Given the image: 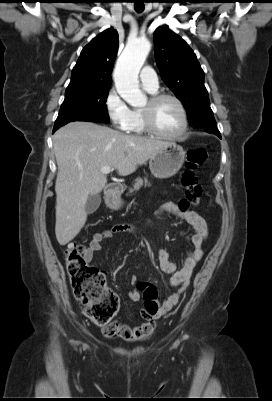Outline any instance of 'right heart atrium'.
Masks as SVG:
<instances>
[{
    "label": "right heart atrium",
    "instance_id": "right-heart-atrium-1",
    "mask_svg": "<svg viewBox=\"0 0 272 401\" xmlns=\"http://www.w3.org/2000/svg\"><path fill=\"white\" fill-rule=\"evenodd\" d=\"M104 106L113 126L126 131L131 120L132 110L115 88L108 90L104 99Z\"/></svg>",
    "mask_w": 272,
    "mask_h": 401
}]
</instances>
